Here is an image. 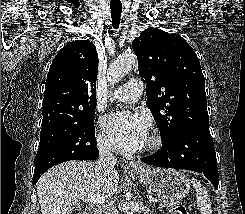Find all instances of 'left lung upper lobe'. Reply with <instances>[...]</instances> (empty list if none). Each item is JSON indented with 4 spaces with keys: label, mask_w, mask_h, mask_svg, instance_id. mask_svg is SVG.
<instances>
[{
    "label": "left lung upper lobe",
    "mask_w": 245,
    "mask_h": 214,
    "mask_svg": "<svg viewBox=\"0 0 245 214\" xmlns=\"http://www.w3.org/2000/svg\"><path fill=\"white\" fill-rule=\"evenodd\" d=\"M147 101L162 145L193 125H208L205 79L193 48L180 35L148 28L134 39Z\"/></svg>",
    "instance_id": "1"
}]
</instances>
